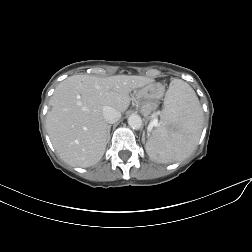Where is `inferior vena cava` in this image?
<instances>
[{
    "mask_svg": "<svg viewBox=\"0 0 252 252\" xmlns=\"http://www.w3.org/2000/svg\"><path fill=\"white\" fill-rule=\"evenodd\" d=\"M102 112L104 120L109 124H113L121 118L120 111L111 106H104Z\"/></svg>",
    "mask_w": 252,
    "mask_h": 252,
    "instance_id": "1",
    "label": "inferior vena cava"
}]
</instances>
